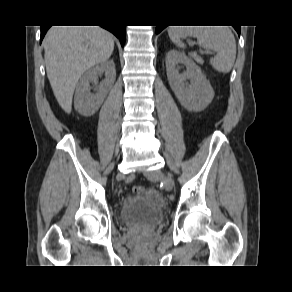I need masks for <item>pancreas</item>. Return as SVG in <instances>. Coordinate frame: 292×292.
Masks as SVG:
<instances>
[{"label":"pancreas","instance_id":"cf45deb5","mask_svg":"<svg viewBox=\"0 0 292 292\" xmlns=\"http://www.w3.org/2000/svg\"><path fill=\"white\" fill-rule=\"evenodd\" d=\"M192 56L199 64H203V60L201 57L197 56L196 54H192Z\"/></svg>","mask_w":292,"mask_h":292}]
</instances>
